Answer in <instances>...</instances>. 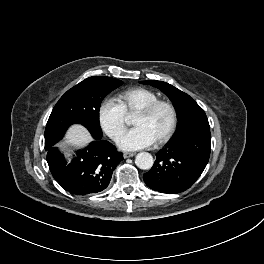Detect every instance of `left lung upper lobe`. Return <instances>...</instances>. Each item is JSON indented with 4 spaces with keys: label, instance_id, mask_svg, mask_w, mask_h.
Wrapping results in <instances>:
<instances>
[{
    "label": "left lung upper lobe",
    "instance_id": "1",
    "mask_svg": "<svg viewBox=\"0 0 264 264\" xmlns=\"http://www.w3.org/2000/svg\"><path fill=\"white\" fill-rule=\"evenodd\" d=\"M164 92L172 101L178 117V125L172 141H179L195 133L210 131L208 119L196 101L176 87L162 81H142Z\"/></svg>",
    "mask_w": 264,
    "mask_h": 264
}]
</instances>
